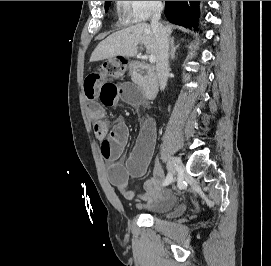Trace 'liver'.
<instances>
[{
  "label": "liver",
  "mask_w": 271,
  "mask_h": 266,
  "mask_svg": "<svg viewBox=\"0 0 271 266\" xmlns=\"http://www.w3.org/2000/svg\"><path fill=\"white\" fill-rule=\"evenodd\" d=\"M165 29L168 34L173 31L170 24H167ZM139 44L144 45L147 53L157 58L155 34L149 24L140 23L115 32L101 41L91 54L90 61L95 62L116 56L134 57L138 53Z\"/></svg>",
  "instance_id": "obj_1"
}]
</instances>
